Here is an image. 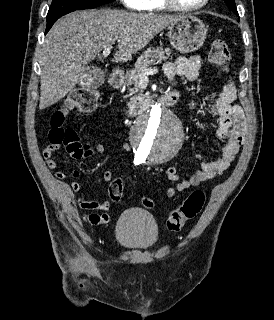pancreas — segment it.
<instances>
[{"mask_svg":"<svg viewBox=\"0 0 274 320\" xmlns=\"http://www.w3.org/2000/svg\"><path fill=\"white\" fill-rule=\"evenodd\" d=\"M171 52L172 50H170V48H165V50L164 48H147L146 52H143L142 56L138 58L135 68L130 70L129 76H127L126 86H128L129 92H131V94H135V92H137L141 70L151 68L155 62H162V60L166 62V60H172ZM130 86H133V88H130ZM127 106L130 108V110L135 108V102L133 98H131Z\"/></svg>","mask_w":274,"mask_h":320,"instance_id":"obj_1","label":"pancreas"}]
</instances>
